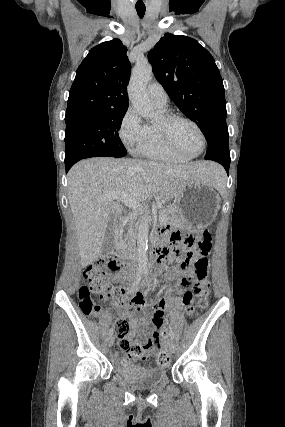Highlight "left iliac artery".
<instances>
[{
	"instance_id": "1",
	"label": "left iliac artery",
	"mask_w": 285,
	"mask_h": 427,
	"mask_svg": "<svg viewBox=\"0 0 285 427\" xmlns=\"http://www.w3.org/2000/svg\"><path fill=\"white\" fill-rule=\"evenodd\" d=\"M145 274H147V271H145ZM169 335H170V338L172 340H174V332H173V329H172L171 325H169Z\"/></svg>"
}]
</instances>
